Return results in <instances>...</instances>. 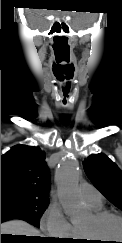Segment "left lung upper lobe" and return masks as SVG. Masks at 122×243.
Returning <instances> with one entry per match:
<instances>
[{
	"instance_id": "left-lung-upper-lobe-1",
	"label": "left lung upper lobe",
	"mask_w": 122,
	"mask_h": 243,
	"mask_svg": "<svg viewBox=\"0 0 122 243\" xmlns=\"http://www.w3.org/2000/svg\"><path fill=\"white\" fill-rule=\"evenodd\" d=\"M84 170L93 185L122 210V171L105 154H92L83 161Z\"/></svg>"
}]
</instances>
